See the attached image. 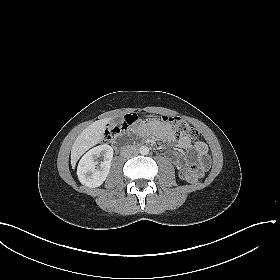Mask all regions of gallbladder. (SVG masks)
I'll use <instances>...</instances> for the list:
<instances>
[{
	"label": "gallbladder",
	"instance_id": "1",
	"mask_svg": "<svg viewBox=\"0 0 280 280\" xmlns=\"http://www.w3.org/2000/svg\"><path fill=\"white\" fill-rule=\"evenodd\" d=\"M123 122V118L119 117L113 121L114 124H121Z\"/></svg>",
	"mask_w": 280,
	"mask_h": 280
}]
</instances>
